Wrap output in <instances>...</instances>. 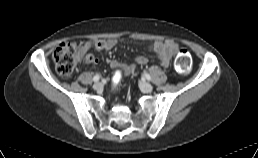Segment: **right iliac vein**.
I'll use <instances>...</instances> for the list:
<instances>
[{"mask_svg":"<svg viewBox=\"0 0 258 158\" xmlns=\"http://www.w3.org/2000/svg\"><path fill=\"white\" fill-rule=\"evenodd\" d=\"M102 87H103V85H102L101 82H96V83L93 85V88H94L95 90H100V89H102Z\"/></svg>","mask_w":258,"mask_h":158,"instance_id":"right-iliac-vein-1","label":"right iliac vein"}]
</instances>
